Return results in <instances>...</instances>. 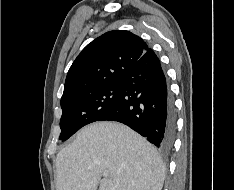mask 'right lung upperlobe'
<instances>
[{"mask_svg": "<svg viewBox=\"0 0 234 190\" xmlns=\"http://www.w3.org/2000/svg\"><path fill=\"white\" fill-rule=\"evenodd\" d=\"M150 48L137 35L107 32L89 43L70 67L61 101L78 93L118 83L124 73Z\"/></svg>", "mask_w": 234, "mask_h": 190, "instance_id": "right-lung-upper-lobe-1", "label": "right lung upper lobe"}]
</instances>
